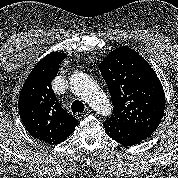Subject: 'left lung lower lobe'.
I'll return each instance as SVG.
<instances>
[{
    "label": "left lung lower lobe",
    "mask_w": 178,
    "mask_h": 178,
    "mask_svg": "<svg viewBox=\"0 0 178 178\" xmlns=\"http://www.w3.org/2000/svg\"><path fill=\"white\" fill-rule=\"evenodd\" d=\"M103 126L109 137L127 146L140 143L156 130L146 125L120 122L112 119L103 122Z\"/></svg>",
    "instance_id": "left-lung-lower-lobe-1"
}]
</instances>
